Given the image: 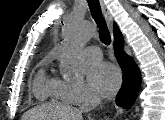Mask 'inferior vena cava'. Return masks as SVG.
Wrapping results in <instances>:
<instances>
[{
	"mask_svg": "<svg viewBox=\"0 0 165 120\" xmlns=\"http://www.w3.org/2000/svg\"><path fill=\"white\" fill-rule=\"evenodd\" d=\"M100 101V98L96 95L89 94L84 104L82 105V109L84 111H91L100 103Z\"/></svg>",
	"mask_w": 165,
	"mask_h": 120,
	"instance_id": "1",
	"label": "inferior vena cava"
}]
</instances>
